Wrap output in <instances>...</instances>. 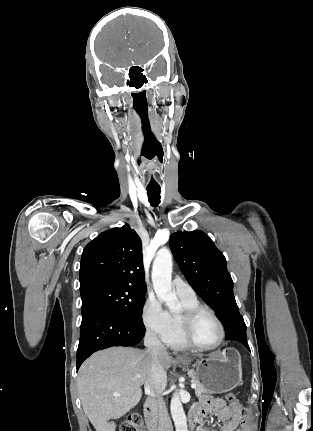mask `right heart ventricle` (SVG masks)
<instances>
[{
  "mask_svg": "<svg viewBox=\"0 0 313 431\" xmlns=\"http://www.w3.org/2000/svg\"><path fill=\"white\" fill-rule=\"evenodd\" d=\"M179 298L182 303V309L196 307L200 305L196 296H193V297L179 296ZM179 314L180 312L169 313L170 331L167 334V336L163 339L164 342L173 349H185L188 347L181 335Z\"/></svg>",
  "mask_w": 313,
  "mask_h": 431,
  "instance_id": "e07e8e85",
  "label": "right heart ventricle"
}]
</instances>
